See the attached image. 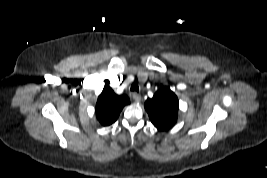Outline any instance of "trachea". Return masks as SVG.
Returning <instances> with one entry per match:
<instances>
[{"mask_svg":"<svg viewBox=\"0 0 267 178\" xmlns=\"http://www.w3.org/2000/svg\"><path fill=\"white\" fill-rule=\"evenodd\" d=\"M130 90H131V91H136V92H138V91H139L138 84H137V83H133V84L131 85Z\"/></svg>","mask_w":267,"mask_h":178,"instance_id":"trachea-1","label":"trachea"}]
</instances>
